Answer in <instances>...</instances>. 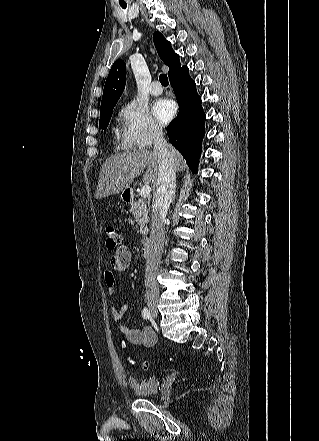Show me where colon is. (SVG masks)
Wrapping results in <instances>:
<instances>
[{"instance_id": "5ec220e1", "label": "colon", "mask_w": 319, "mask_h": 441, "mask_svg": "<svg viewBox=\"0 0 319 441\" xmlns=\"http://www.w3.org/2000/svg\"><path fill=\"white\" fill-rule=\"evenodd\" d=\"M105 236H106V246L108 249L113 250L119 247L122 244V237L114 226H107L105 228ZM173 358H171L172 360ZM130 362L134 363V361L130 358ZM149 362L145 361L142 364V369L147 370L149 368Z\"/></svg>"}]
</instances>
